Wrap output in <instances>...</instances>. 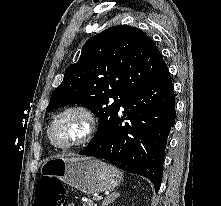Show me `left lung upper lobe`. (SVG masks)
<instances>
[{
    "instance_id": "5c2ea615",
    "label": "left lung upper lobe",
    "mask_w": 221,
    "mask_h": 206,
    "mask_svg": "<svg viewBox=\"0 0 221 206\" xmlns=\"http://www.w3.org/2000/svg\"><path fill=\"white\" fill-rule=\"evenodd\" d=\"M167 69L157 46L140 29L108 28L84 44L78 62L66 69L46 110L69 104L90 109L99 118L91 145L112 127L126 100Z\"/></svg>"
}]
</instances>
